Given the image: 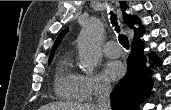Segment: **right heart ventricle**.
Listing matches in <instances>:
<instances>
[{
  "label": "right heart ventricle",
  "instance_id": "obj_1",
  "mask_svg": "<svg viewBox=\"0 0 171 110\" xmlns=\"http://www.w3.org/2000/svg\"><path fill=\"white\" fill-rule=\"evenodd\" d=\"M54 89L58 97L67 101H82L86 99L81 77L71 68L68 56H64L58 65Z\"/></svg>",
  "mask_w": 171,
  "mask_h": 110
}]
</instances>
